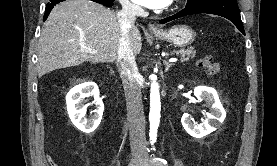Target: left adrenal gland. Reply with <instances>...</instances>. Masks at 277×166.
<instances>
[{"label":"left adrenal gland","instance_id":"a2214340","mask_svg":"<svg viewBox=\"0 0 277 166\" xmlns=\"http://www.w3.org/2000/svg\"><path fill=\"white\" fill-rule=\"evenodd\" d=\"M164 65H165V72H167L169 70V68L173 65L172 63H169L167 61H163Z\"/></svg>","mask_w":277,"mask_h":166}]
</instances>
